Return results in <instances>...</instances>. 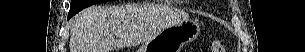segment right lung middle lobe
Returning a JSON list of instances; mask_svg holds the SVG:
<instances>
[{"label": "right lung middle lobe", "mask_w": 305, "mask_h": 52, "mask_svg": "<svg viewBox=\"0 0 305 52\" xmlns=\"http://www.w3.org/2000/svg\"><path fill=\"white\" fill-rule=\"evenodd\" d=\"M110 0H72L70 11L74 14L78 13L82 9L91 6L93 4L107 2Z\"/></svg>", "instance_id": "dd1d6c3e"}]
</instances>
